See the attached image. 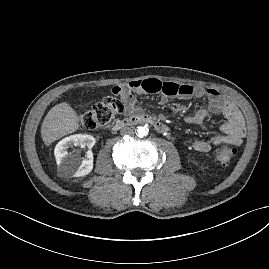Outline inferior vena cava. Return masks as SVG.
<instances>
[{
    "mask_svg": "<svg viewBox=\"0 0 269 269\" xmlns=\"http://www.w3.org/2000/svg\"><path fill=\"white\" fill-rule=\"evenodd\" d=\"M121 134L122 135H132V134H134V130L132 127H123L121 129Z\"/></svg>",
    "mask_w": 269,
    "mask_h": 269,
    "instance_id": "obj_1",
    "label": "inferior vena cava"
}]
</instances>
